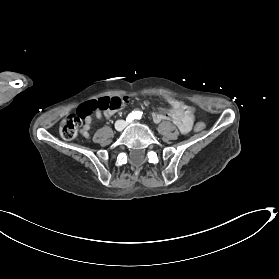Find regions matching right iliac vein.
<instances>
[{
	"mask_svg": "<svg viewBox=\"0 0 279 279\" xmlns=\"http://www.w3.org/2000/svg\"><path fill=\"white\" fill-rule=\"evenodd\" d=\"M123 129V125L122 124H119L118 126H117V130H122Z\"/></svg>",
	"mask_w": 279,
	"mask_h": 279,
	"instance_id": "1",
	"label": "right iliac vein"
}]
</instances>
